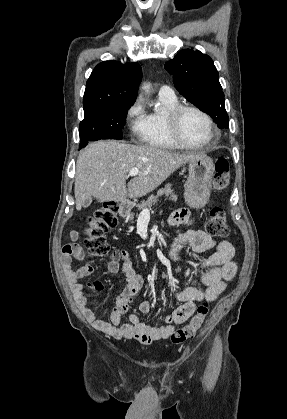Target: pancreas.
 <instances>
[{"instance_id":"obj_1","label":"pancreas","mask_w":287,"mask_h":419,"mask_svg":"<svg viewBox=\"0 0 287 419\" xmlns=\"http://www.w3.org/2000/svg\"><path fill=\"white\" fill-rule=\"evenodd\" d=\"M165 195L166 197H169L170 200L176 201L177 195L174 194V191L171 189V184H166L164 188L158 190L156 195H151L148 197V199L145 201H142L141 203L137 204L136 207L139 210H143L145 208H150L153 204H156L159 197ZM133 217V214L131 215V218Z\"/></svg>"}]
</instances>
